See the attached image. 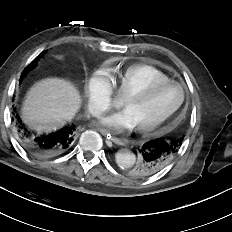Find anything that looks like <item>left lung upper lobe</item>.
<instances>
[{"label":"left lung upper lobe","instance_id":"1","mask_svg":"<svg viewBox=\"0 0 232 232\" xmlns=\"http://www.w3.org/2000/svg\"><path fill=\"white\" fill-rule=\"evenodd\" d=\"M169 139H171V140H176L177 143L183 141V137H181V138H169ZM180 146H181V144H180ZM177 147H178V146H177ZM135 166H136V165H134V166L130 167L129 169H127V172H128V174H129L130 176H132V175H131V171H132V169H133ZM132 177H133V176H132Z\"/></svg>","mask_w":232,"mask_h":232}]
</instances>
